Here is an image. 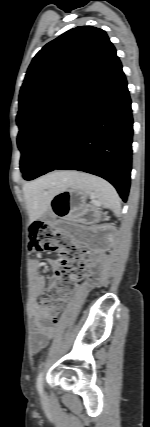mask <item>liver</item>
Masks as SVG:
<instances>
[{
	"instance_id": "liver-1",
	"label": "liver",
	"mask_w": 150,
	"mask_h": 427,
	"mask_svg": "<svg viewBox=\"0 0 150 427\" xmlns=\"http://www.w3.org/2000/svg\"><path fill=\"white\" fill-rule=\"evenodd\" d=\"M76 172H54L23 186L24 197L31 221L38 219L50 207L53 196L69 187Z\"/></svg>"
}]
</instances>
